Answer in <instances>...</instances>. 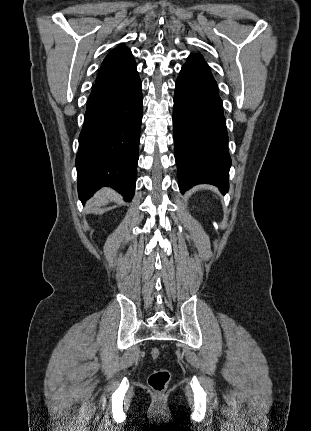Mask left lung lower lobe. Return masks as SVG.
Here are the masks:
<instances>
[{"instance_id":"0a47b994","label":"left lung lower lobe","mask_w":311,"mask_h":431,"mask_svg":"<svg viewBox=\"0 0 311 431\" xmlns=\"http://www.w3.org/2000/svg\"><path fill=\"white\" fill-rule=\"evenodd\" d=\"M173 127L181 193L199 183L229 188L231 158L223 104L202 56L191 54L176 81Z\"/></svg>"}]
</instances>
